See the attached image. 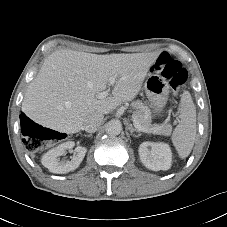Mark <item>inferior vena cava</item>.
<instances>
[{
  "instance_id": "obj_1",
  "label": "inferior vena cava",
  "mask_w": 227,
  "mask_h": 227,
  "mask_svg": "<svg viewBox=\"0 0 227 227\" xmlns=\"http://www.w3.org/2000/svg\"><path fill=\"white\" fill-rule=\"evenodd\" d=\"M103 118H104V116L101 113H95V114L88 116L84 122L82 129L88 133L96 132L97 129L102 124Z\"/></svg>"
}]
</instances>
